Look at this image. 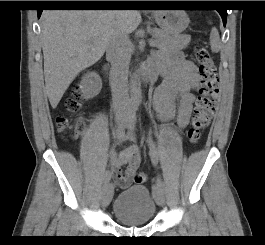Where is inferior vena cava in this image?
Listing matches in <instances>:
<instances>
[{"label": "inferior vena cava", "mask_w": 265, "mask_h": 245, "mask_svg": "<svg viewBox=\"0 0 265 245\" xmlns=\"http://www.w3.org/2000/svg\"><path fill=\"white\" fill-rule=\"evenodd\" d=\"M128 35L114 32L108 37L106 56L111 62L112 102L116 115H126L130 108L128 70L131 60Z\"/></svg>", "instance_id": "obj_1"}]
</instances>
